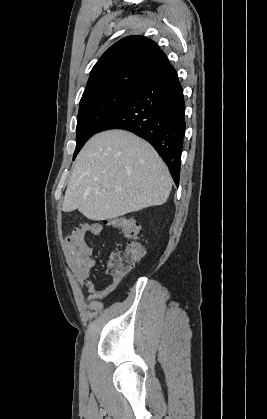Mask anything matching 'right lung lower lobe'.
<instances>
[{
    "label": "right lung lower lobe",
    "mask_w": 267,
    "mask_h": 419,
    "mask_svg": "<svg viewBox=\"0 0 267 419\" xmlns=\"http://www.w3.org/2000/svg\"><path fill=\"white\" fill-rule=\"evenodd\" d=\"M110 129L127 130L147 140L165 161L178 186L185 102L174 67L169 65L142 83L97 133Z\"/></svg>",
    "instance_id": "98d812e1"
}]
</instances>
